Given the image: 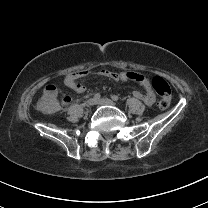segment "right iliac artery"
I'll list each match as a JSON object with an SVG mask.
<instances>
[{
  "label": "right iliac artery",
  "instance_id": "82829eb1",
  "mask_svg": "<svg viewBox=\"0 0 208 208\" xmlns=\"http://www.w3.org/2000/svg\"><path fill=\"white\" fill-rule=\"evenodd\" d=\"M100 97H101V95H100L99 93H96V94L94 95V99H95V100L100 99Z\"/></svg>",
  "mask_w": 208,
  "mask_h": 208
}]
</instances>
